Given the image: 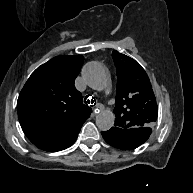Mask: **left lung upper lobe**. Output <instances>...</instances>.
<instances>
[{
  "mask_svg": "<svg viewBox=\"0 0 193 193\" xmlns=\"http://www.w3.org/2000/svg\"><path fill=\"white\" fill-rule=\"evenodd\" d=\"M112 57L118 77L115 127L127 132L150 128L157 119L158 109L146 72L134 59L118 51H113Z\"/></svg>",
  "mask_w": 193,
  "mask_h": 193,
  "instance_id": "left-lung-upper-lobe-1",
  "label": "left lung upper lobe"
}]
</instances>
